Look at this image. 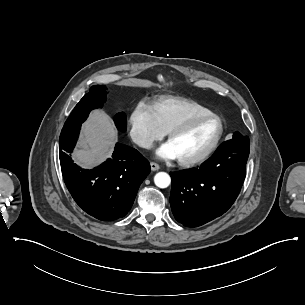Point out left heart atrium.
Returning a JSON list of instances; mask_svg holds the SVG:
<instances>
[{"instance_id": "obj_1", "label": "left heart atrium", "mask_w": 305, "mask_h": 305, "mask_svg": "<svg viewBox=\"0 0 305 305\" xmlns=\"http://www.w3.org/2000/svg\"><path fill=\"white\" fill-rule=\"evenodd\" d=\"M157 155L160 158L165 159H176L178 158L177 153L170 142L164 143L157 151Z\"/></svg>"}]
</instances>
